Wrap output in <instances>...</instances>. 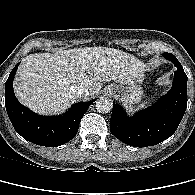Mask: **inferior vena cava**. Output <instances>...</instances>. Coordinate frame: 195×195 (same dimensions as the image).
Listing matches in <instances>:
<instances>
[{
	"label": "inferior vena cava",
	"instance_id": "602c4592",
	"mask_svg": "<svg viewBox=\"0 0 195 195\" xmlns=\"http://www.w3.org/2000/svg\"><path fill=\"white\" fill-rule=\"evenodd\" d=\"M89 92L90 91L86 86H79L74 89V93L78 97H86L87 95H89Z\"/></svg>",
	"mask_w": 195,
	"mask_h": 195
}]
</instances>
